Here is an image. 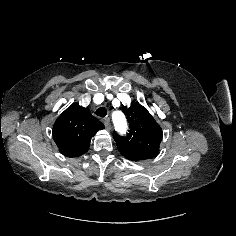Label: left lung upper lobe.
I'll use <instances>...</instances> for the list:
<instances>
[{"label":"left lung upper lobe","instance_id":"5c2ea615","mask_svg":"<svg viewBox=\"0 0 236 236\" xmlns=\"http://www.w3.org/2000/svg\"><path fill=\"white\" fill-rule=\"evenodd\" d=\"M122 111L127 117L130 130L125 137H120L114 131L117 147L159 151L162 130L148 110L138 102H133L130 107L124 106Z\"/></svg>","mask_w":236,"mask_h":236}]
</instances>
